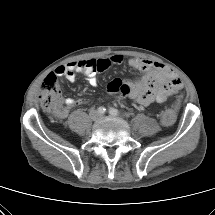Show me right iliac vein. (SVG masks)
I'll return each instance as SVG.
<instances>
[{
	"instance_id": "right-iliac-vein-1",
	"label": "right iliac vein",
	"mask_w": 215,
	"mask_h": 215,
	"mask_svg": "<svg viewBox=\"0 0 215 215\" xmlns=\"http://www.w3.org/2000/svg\"><path fill=\"white\" fill-rule=\"evenodd\" d=\"M91 115L93 119H96L98 117V115L95 112H93Z\"/></svg>"
}]
</instances>
